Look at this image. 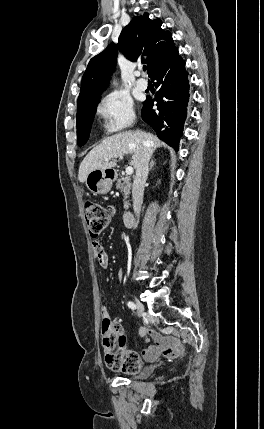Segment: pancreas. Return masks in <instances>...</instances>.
Segmentation results:
<instances>
[{
    "mask_svg": "<svg viewBox=\"0 0 264 429\" xmlns=\"http://www.w3.org/2000/svg\"><path fill=\"white\" fill-rule=\"evenodd\" d=\"M116 189L120 190L123 193L124 196V208L128 209L129 202L127 199L130 195V189H131V179L129 177H122L117 180L116 182Z\"/></svg>",
    "mask_w": 264,
    "mask_h": 429,
    "instance_id": "cf45deb5",
    "label": "pancreas"
}]
</instances>
